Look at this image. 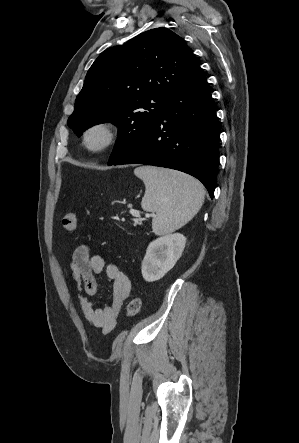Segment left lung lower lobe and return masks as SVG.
<instances>
[{"instance_id": "1", "label": "left lung lower lobe", "mask_w": 299, "mask_h": 443, "mask_svg": "<svg viewBox=\"0 0 299 443\" xmlns=\"http://www.w3.org/2000/svg\"><path fill=\"white\" fill-rule=\"evenodd\" d=\"M219 128L211 93L200 66L166 102L154 125L108 165L148 164L176 169L200 180L214 196Z\"/></svg>"}]
</instances>
